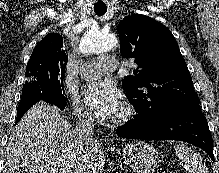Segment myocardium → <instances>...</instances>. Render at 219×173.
<instances>
[{
    "instance_id": "1",
    "label": "myocardium",
    "mask_w": 219,
    "mask_h": 173,
    "mask_svg": "<svg viewBox=\"0 0 219 173\" xmlns=\"http://www.w3.org/2000/svg\"><path fill=\"white\" fill-rule=\"evenodd\" d=\"M121 113L111 119L114 126H123L129 123L136 115V109L129 100H124L121 104Z\"/></svg>"
}]
</instances>
